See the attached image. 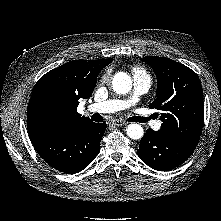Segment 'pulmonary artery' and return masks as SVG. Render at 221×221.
Masks as SVG:
<instances>
[{"label": "pulmonary artery", "instance_id": "pulmonary-artery-1", "mask_svg": "<svg viewBox=\"0 0 221 221\" xmlns=\"http://www.w3.org/2000/svg\"><path fill=\"white\" fill-rule=\"evenodd\" d=\"M133 94L130 98L126 100H106L103 102L93 103L88 106V111L90 112H98V113H111L120 110L127 109L133 105H135L139 98L146 94L151 87V79L147 75H135L133 78ZM152 127L155 130H159L161 127L160 121H155L152 123Z\"/></svg>", "mask_w": 221, "mask_h": 221}]
</instances>
